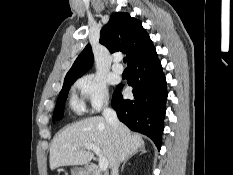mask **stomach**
<instances>
[{
	"instance_id": "stomach-1",
	"label": "stomach",
	"mask_w": 233,
	"mask_h": 175,
	"mask_svg": "<svg viewBox=\"0 0 233 175\" xmlns=\"http://www.w3.org/2000/svg\"><path fill=\"white\" fill-rule=\"evenodd\" d=\"M71 175H88V173L83 168H74L71 170Z\"/></svg>"
}]
</instances>
